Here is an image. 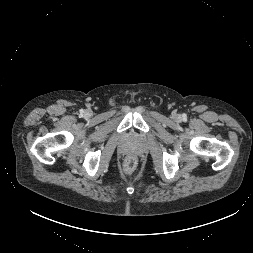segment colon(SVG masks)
I'll list each match as a JSON object with an SVG mask.
<instances>
[{"mask_svg": "<svg viewBox=\"0 0 253 253\" xmlns=\"http://www.w3.org/2000/svg\"><path fill=\"white\" fill-rule=\"evenodd\" d=\"M135 166H136L135 159L129 157L124 164V170L126 173H132L135 169Z\"/></svg>", "mask_w": 253, "mask_h": 253, "instance_id": "colon-1", "label": "colon"}]
</instances>
